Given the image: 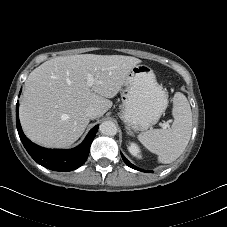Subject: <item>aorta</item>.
Returning a JSON list of instances; mask_svg holds the SVG:
<instances>
[{
    "label": "aorta",
    "mask_w": 227,
    "mask_h": 227,
    "mask_svg": "<svg viewBox=\"0 0 227 227\" xmlns=\"http://www.w3.org/2000/svg\"><path fill=\"white\" fill-rule=\"evenodd\" d=\"M99 130L107 136H114L117 133V126L113 121H104L100 124Z\"/></svg>",
    "instance_id": "obj_1"
}]
</instances>
